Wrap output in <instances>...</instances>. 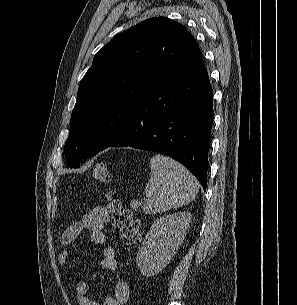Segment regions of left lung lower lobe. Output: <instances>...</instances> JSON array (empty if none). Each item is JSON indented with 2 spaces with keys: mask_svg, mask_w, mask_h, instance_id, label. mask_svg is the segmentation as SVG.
<instances>
[{
  "mask_svg": "<svg viewBox=\"0 0 297 305\" xmlns=\"http://www.w3.org/2000/svg\"><path fill=\"white\" fill-rule=\"evenodd\" d=\"M212 105L205 67L170 79L133 108L118 136L105 148L131 146L166 154L186 166L206 189Z\"/></svg>",
  "mask_w": 297,
  "mask_h": 305,
  "instance_id": "left-lung-lower-lobe-1",
  "label": "left lung lower lobe"
}]
</instances>
